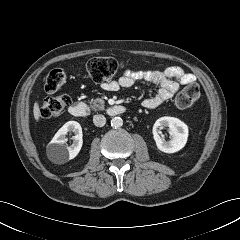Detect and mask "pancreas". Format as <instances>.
<instances>
[{"label":"pancreas","mask_w":240,"mask_h":240,"mask_svg":"<svg viewBox=\"0 0 240 240\" xmlns=\"http://www.w3.org/2000/svg\"><path fill=\"white\" fill-rule=\"evenodd\" d=\"M105 101L101 98L91 100L90 106L93 110H103Z\"/></svg>","instance_id":"pancreas-1"}]
</instances>
